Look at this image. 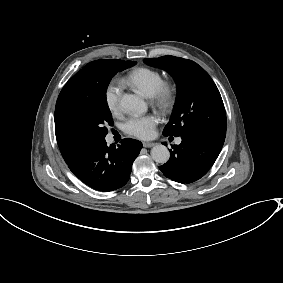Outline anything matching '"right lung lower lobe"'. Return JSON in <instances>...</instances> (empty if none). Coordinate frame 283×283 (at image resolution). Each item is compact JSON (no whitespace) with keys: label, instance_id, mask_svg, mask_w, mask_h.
<instances>
[{"label":"right lung lower lobe","instance_id":"right-lung-lower-lobe-1","mask_svg":"<svg viewBox=\"0 0 283 283\" xmlns=\"http://www.w3.org/2000/svg\"><path fill=\"white\" fill-rule=\"evenodd\" d=\"M142 143L126 138L121 145L107 146L105 139L95 141L79 158L68 164L70 170L95 190L108 192L124 186Z\"/></svg>","mask_w":283,"mask_h":283}]
</instances>
